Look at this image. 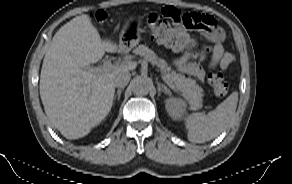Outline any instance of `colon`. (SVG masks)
<instances>
[{
  "label": "colon",
  "instance_id": "5ec220e1",
  "mask_svg": "<svg viewBox=\"0 0 292 184\" xmlns=\"http://www.w3.org/2000/svg\"><path fill=\"white\" fill-rule=\"evenodd\" d=\"M100 21L106 20V15L99 12L96 15ZM147 23L153 40L175 51H193L197 49L195 42L182 30L198 29L210 25L205 14L196 12L183 13L174 7H165L159 13L147 15ZM201 53L210 51L209 47L199 48ZM209 83L215 95L224 97L228 93V85L221 73L209 75Z\"/></svg>",
  "mask_w": 292,
  "mask_h": 184
}]
</instances>
